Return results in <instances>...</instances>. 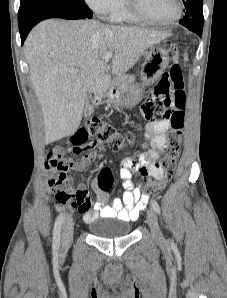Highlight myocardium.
Returning a JSON list of instances; mask_svg holds the SVG:
<instances>
[{"instance_id":"myocardium-1","label":"myocardium","mask_w":227,"mask_h":298,"mask_svg":"<svg viewBox=\"0 0 227 298\" xmlns=\"http://www.w3.org/2000/svg\"><path fill=\"white\" fill-rule=\"evenodd\" d=\"M125 3L127 10L134 18H136L140 22H145L153 25H170L180 19L183 13L182 0H175L176 13L174 14V16L167 20H157L147 15L141 8L139 0H125Z\"/></svg>"}]
</instances>
